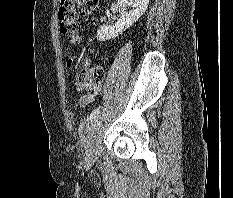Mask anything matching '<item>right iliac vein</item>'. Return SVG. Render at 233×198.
<instances>
[{
  "label": "right iliac vein",
  "mask_w": 233,
  "mask_h": 198,
  "mask_svg": "<svg viewBox=\"0 0 233 198\" xmlns=\"http://www.w3.org/2000/svg\"><path fill=\"white\" fill-rule=\"evenodd\" d=\"M90 154L95 161L98 160V155L94 150L90 149Z\"/></svg>",
  "instance_id": "right-iliac-vein-1"
}]
</instances>
